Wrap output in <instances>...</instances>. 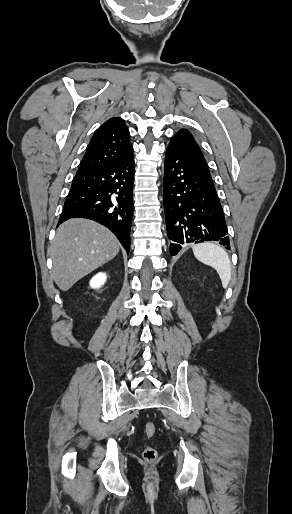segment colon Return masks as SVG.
Instances as JSON below:
<instances>
[{"mask_svg": "<svg viewBox=\"0 0 292 514\" xmlns=\"http://www.w3.org/2000/svg\"><path fill=\"white\" fill-rule=\"evenodd\" d=\"M144 431L148 438H152L156 433V426L152 421H147L144 425ZM143 459L146 462H153L158 457V452L152 445H148L143 449Z\"/></svg>", "mask_w": 292, "mask_h": 514, "instance_id": "obj_1", "label": "colon"}]
</instances>
